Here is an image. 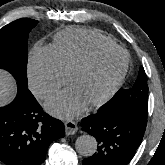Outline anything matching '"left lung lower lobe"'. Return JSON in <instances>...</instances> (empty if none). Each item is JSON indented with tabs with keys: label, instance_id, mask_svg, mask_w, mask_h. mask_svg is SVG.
Wrapping results in <instances>:
<instances>
[{
	"label": "left lung lower lobe",
	"instance_id": "0a47b994",
	"mask_svg": "<svg viewBox=\"0 0 165 165\" xmlns=\"http://www.w3.org/2000/svg\"><path fill=\"white\" fill-rule=\"evenodd\" d=\"M147 116L132 113H95L83 118L82 130L93 135L97 152L82 165H127L142 142Z\"/></svg>",
	"mask_w": 165,
	"mask_h": 165
}]
</instances>
